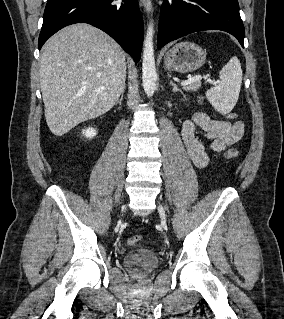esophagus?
I'll use <instances>...</instances> for the list:
<instances>
[{
    "label": "esophagus",
    "instance_id": "esophagus-1",
    "mask_svg": "<svg viewBox=\"0 0 284 319\" xmlns=\"http://www.w3.org/2000/svg\"><path fill=\"white\" fill-rule=\"evenodd\" d=\"M141 4L147 14L151 13L152 10V2L151 0H140Z\"/></svg>",
    "mask_w": 284,
    "mask_h": 319
}]
</instances>
